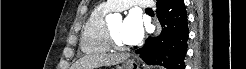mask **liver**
<instances>
[{
  "label": "liver",
  "mask_w": 246,
  "mask_h": 69,
  "mask_svg": "<svg viewBox=\"0 0 246 69\" xmlns=\"http://www.w3.org/2000/svg\"><path fill=\"white\" fill-rule=\"evenodd\" d=\"M129 57L128 54L89 55L81 58L73 69H93L101 66L117 65Z\"/></svg>",
  "instance_id": "liver-1"
}]
</instances>
